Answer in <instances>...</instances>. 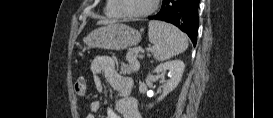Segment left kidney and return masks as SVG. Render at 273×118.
Here are the masks:
<instances>
[{
  "label": "left kidney",
  "instance_id": "1",
  "mask_svg": "<svg viewBox=\"0 0 273 118\" xmlns=\"http://www.w3.org/2000/svg\"><path fill=\"white\" fill-rule=\"evenodd\" d=\"M184 68H185V65L183 61L173 60V61L162 63L154 69L153 72L157 74L165 73L166 71H168V77H169V79L163 84V93L158 98V101L163 100V98L167 96V94L172 92L177 87V85L181 81ZM152 106L153 104L149 105V107H152Z\"/></svg>",
  "mask_w": 273,
  "mask_h": 118
}]
</instances>
